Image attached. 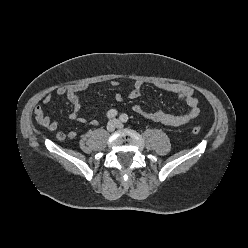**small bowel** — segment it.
<instances>
[{"label":"small bowel","mask_w":248,"mask_h":248,"mask_svg":"<svg viewBox=\"0 0 248 248\" xmlns=\"http://www.w3.org/2000/svg\"><path fill=\"white\" fill-rule=\"evenodd\" d=\"M109 84L111 86H117L118 82L116 80H111ZM142 87V81H135L129 92V97L131 99L138 98L141 95ZM155 87L163 92L176 94L181 100H183L188 105L189 110L181 115H172L166 113L161 109L147 111L140 105H133L132 110L135 113L142 115L145 118H148L154 122H158L171 127H179L188 124L198 117L200 113V109L198 106L199 101L194 96V90L190 86L178 83L158 82L155 84ZM89 88L90 84L88 83H77L68 86H60L56 89V94L58 96H65L72 104L73 110L69 115V118L72 121H76L79 123L86 122V119L80 114L82 108L80 93L87 91ZM115 99L116 101L120 102L123 100V97L121 94H116ZM51 100L52 95L46 94L43 98V104H49ZM34 113L36 123L39 126L43 127L48 131H55L58 128V122L51 119V117L45 113L41 105H37L34 108ZM90 124L96 126L98 125V121L96 119H93L90 121ZM76 136L77 133L74 130H71L67 133H64L62 131L56 133V138L58 140H64L66 138L74 139L76 138Z\"/></svg>","instance_id":"small-bowel-1"}]
</instances>
